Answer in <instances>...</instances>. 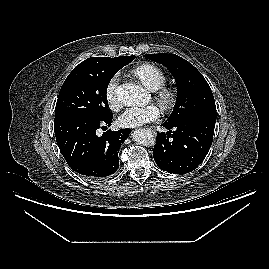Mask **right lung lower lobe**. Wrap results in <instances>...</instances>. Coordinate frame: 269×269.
<instances>
[{"mask_svg": "<svg viewBox=\"0 0 269 269\" xmlns=\"http://www.w3.org/2000/svg\"><path fill=\"white\" fill-rule=\"evenodd\" d=\"M111 123L112 117L105 120L81 114L55 117L56 141L73 171L90 180L102 179L117 171L118 152L130 129L109 130L97 136L99 128Z\"/></svg>", "mask_w": 269, "mask_h": 269, "instance_id": "98d812e1", "label": "right lung lower lobe"}]
</instances>
